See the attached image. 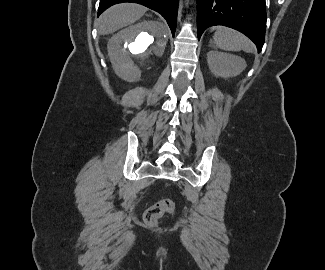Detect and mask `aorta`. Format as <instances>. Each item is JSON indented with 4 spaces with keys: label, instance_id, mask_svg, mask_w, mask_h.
Wrapping results in <instances>:
<instances>
[{
    "label": "aorta",
    "instance_id": "obj_1",
    "mask_svg": "<svg viewBox=\"0 0 325 270\" xmlns=\"http://www.w3.org/2000/svg\"><path fill=\"white\" fill-rule=\"evenodd\" d=\"M188 1H189V0H186V4H188Z\"/></svg>",
    "mask_w": 325,
    "mask_h": 270
}]
</instances>
